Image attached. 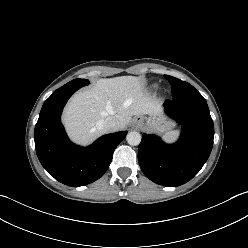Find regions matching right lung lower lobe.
Wrapping results in <instances>:
<instances>
[{"label": "right lung lower lobe", "instance_id": "obj_1", "mask_svg": "<svg viewBox=\"0 0 248 248\" xmlns=\"http://www.w3.org/2000/svg\"><path fill=\"white\" fill-rule=\"evenodd\" d=\"M80 85L63 86L44 102L35 126V149L47 172L59 182L78 187L99 179L108 169L113 152L127 131L107 134L88 147H79L67 137L61 113Z\"/></svg>", "mask_w": 248, "mask_h": 248}]
</instances>
